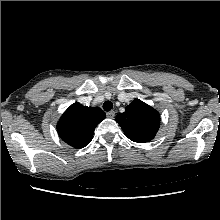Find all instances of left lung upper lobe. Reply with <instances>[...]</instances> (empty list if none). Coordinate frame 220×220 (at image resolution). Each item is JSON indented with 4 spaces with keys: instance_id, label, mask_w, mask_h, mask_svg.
Instances as JSON below:
<instances>
[{
    "instance_id": "5c2ea615",
    "label": "left lung upper lobe",
    "mask_w": 220,
    "mask_h": 220,
    "mask_svg": "<svg viewBox=\"0 0 220 220\" xmlns=\"http://www.w3.org/2000/svg\"><path fill=\"white\" fill-rule=\"evenodd\" d=\"M116 122L132 141L145 143L152 140L160 125V116L151 106L135 99L124 113L116 116Z\"/></svg>"
}]
</instances>
